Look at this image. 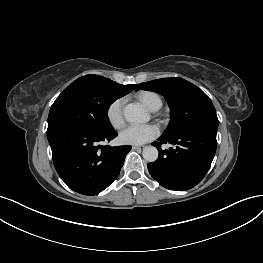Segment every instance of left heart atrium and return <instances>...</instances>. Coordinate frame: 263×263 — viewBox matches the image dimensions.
Here are the masks:
<instances>
[{
    "label": "left heart atrium",
    "mask_w": 263,
    "mask_h": 263,
    "mask_svg": "<svg viewBox=\"0 0 263 263\" xmlns=\"http://www.w3.org/2000/svg\"><path fill=\"white\" fill-rule=\"evenodd\" d=\"M159 128L154 124L129 125L120 134V141L128 145H141L155 139L159 135Z\"/></svg>",
    "instance_id": "39dd6f15"
}]
</instances>
